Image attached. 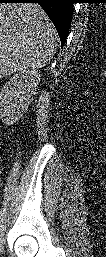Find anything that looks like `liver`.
Wrapping results in <instances>:
<instances>
[{
    "mask_svg": "<svg viewBox=\"0 0 106 257\" xmlns=\"http://www.w3.org/2000/svg\"><path fill=\"white\" fill-rule=\"evenodd\" d=\"M56 30L37 4L0 5V74L43 67L53 57Z\"/></svg>",
    "mask_w": 106,
    "mask_h": 257,
    "instance_id": "obj_1",
    "label": "liver"
}]
</instances>
